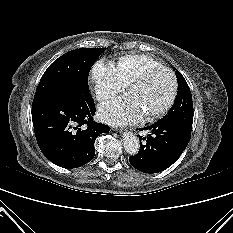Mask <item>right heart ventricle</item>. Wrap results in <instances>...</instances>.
Instances as JSON below:
<instances>
[{
	"mask_svg": "<svg viewBox=\"0 0 233 233\" xmlns=\"http://www.w3.org/2000/svg\"><path fill=\"white\" fill-rule=\"evenodd\" d=\"M162 66L160 62L154 58L143 55H127L119 59L117 63V70L120 74L122 81L128 84L136 76L150 67Z\"/></svg>",
	"mask_w": 233,
	"mask_h": 233,
	"instance_id": "obj_1",
	"label": "right heart ventricle"
}]
</instances>
